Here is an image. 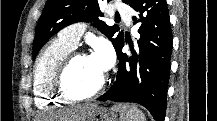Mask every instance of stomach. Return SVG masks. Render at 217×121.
<instances>
[{
	"mask_svg": "<svg viewBox=\"0 0 217 121\" xmlns=\"http://www.w3.org/2000/svg\"><path fill=\"white\" fill-rule=\"evenodd\" d=\"M117 114L106 107L95 106L89 114H87L85 121H116Z\"/></svg>",
	"mask_w": 217,
	"mask_h": 121,
	"instance_id": "obj_1",
	"label": "stomach"
}]
</instances>
